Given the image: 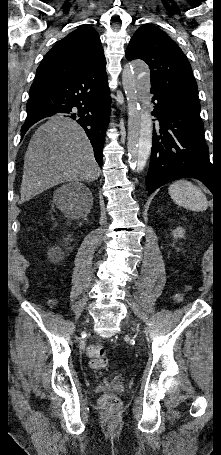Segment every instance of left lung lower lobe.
I'll use <instances>...</instances> for the list:
<instances>
[{
  "label": "left lung lower lobe",
  "instance_id": "1",
  "mask_svg": "<svg viewBox=\"0 0 221 455\" xmlns=\"http://www.w3.org/2000/svg\"><path fill=\"white\" fill-rule=\"evenodd\" d=\"M154 94L152 115L157 117L159 129L153 130L149 171L146 177L148 195L162 185L179 178H196L211 192L214 167L203 137L200 112L190 109L151 89ZM155 126V124H154Z\"/></svg>",
  "mask_w": 221,
  "mask_h": 455
}]
</instances>
